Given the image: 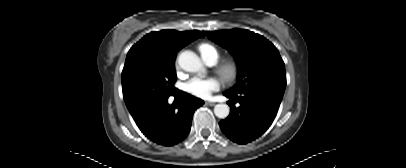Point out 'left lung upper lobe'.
Listing matches in <instances>:
<instances>
[{
  "label": "left lung upper lobe",
  "instance_id": "obj_1",
  "mask_svg": "<svg viewBox=\"0 0 406 168\" xmlns=\"http://www.w3.org/2000/svg\"><path fill=\"white\" fill-rule=\"evenodd\" d=\"M204 33L229 50L238 64V82L228 93L240 95L251 91H271L284 94L285 65L270 41L242 29Z\"/></svg>",
  "mask_w": 406,
  "mask_h": 168
}]
</instances>
